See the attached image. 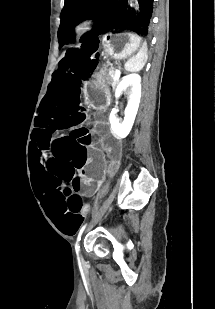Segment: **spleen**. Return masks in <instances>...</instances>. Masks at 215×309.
<instances>
[{
    "instance_id": "spleen-1",
    "label": "spleen",
    "mask_w": 215,
    "mask_h": 309,
    "mask_svg": "<svg viewBox=\"0 0 215 309\" xmlns=\"http://www.w3.org/2000/svg\"><path fill=\"white\" fill-rule=\"evenodd\" d=\"M147 42H143L139 52L135 56H131L127 62H125V70H130V72H138L143 68L145 62H147Z\"/></svg>"
}]
</instances>
